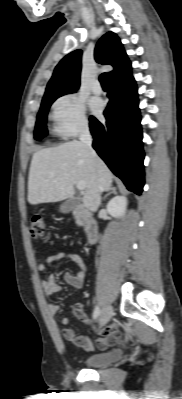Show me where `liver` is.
Here are the masks:
<instances>
[{
	"label": "liver",
	"mask_w": 182,
	"mask_h": 399,
	"mask_svg": "<svg viewBox=\"0 0 182 399\" xmlns=\"http://www.w3.org/2000/svg\"><path fill=\"white\" fill-rule=\"evenodd\" d=\"M113 174L96 153L80 141L73 140L33 154L28 179V202L32 205L65 200L72 197L75 185L85 184L83 205L96 211L101 192L108 190Z\"/></svg>",
	"instance_id": "6515ba94"
}]
</instances>
